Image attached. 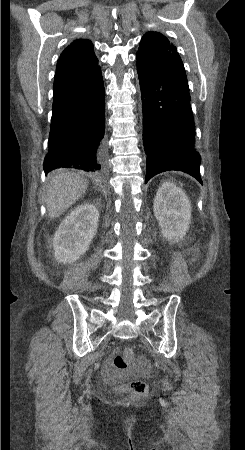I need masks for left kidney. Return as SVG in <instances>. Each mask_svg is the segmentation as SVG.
Returning <instances> with one entry per match:
<instances>
[{"label": "left kidney", "instance_id": "obj_1", "mask_svg": "<svg viewBox=\"0 0 245 450\" xmlns=\"http://www.w3.org/2000/svg\"><path fill=\"white\" fill-rule=\"evenodd\" d=\"M154 215L164 238L179 242L188 231L191 204L186 194L174 183H163L154 199Z\"/></svg>", "mask_w": 245, "mask_h": 450}]
</instances>
